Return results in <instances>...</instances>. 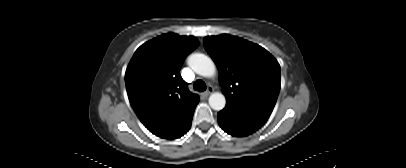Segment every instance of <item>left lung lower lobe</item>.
I'll return each instance as SVG.
<instances>
[{
  "instance_id": "0a47b994",
  "label": "left lung lower lobe",
  "mask_w": 406,
  "mask_h": 168,
  "mask_svg": "<svg viewBox=\"0 0 406 168\" xmlns=\"http://www.w3.org/2000/svg\"><path fill=\"white\" fill-rule=\"evenodd\" d=\"M268 118L247 112L236 107L226 105L218 113V122L220 127L236 137H243L252 134L262 127Z\"/></svg>"
}]
</instances>
